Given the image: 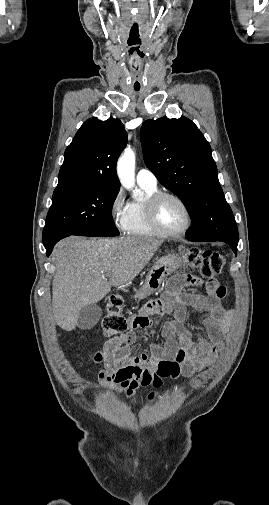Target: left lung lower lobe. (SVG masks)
<instances>
[{"label": "left lung lower lobe", "instance_id": "0a47b994", "mask_svg": "<svg viewBox=\"0 0 269 505\" xmlns=\"http://www.w3.org/2000/svg\"><path fill=\"white\" fill-rule=\"evenodd\" d=\"M189 241H192V240H189ZM222 242H225V243L229 244L231 246L233 252L235 254H237V245H238L237 243H232V242H228V241H222Z\"/></svg>", "mask_w": 269, "mask_h": 505}]
</instances>
